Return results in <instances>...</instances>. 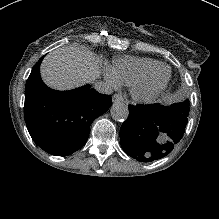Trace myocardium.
<instances>
[{"mask_svg":"<svg viewBox=\"0 0 219 219\" xmlns=\"http://www.w3.org/2000/svg\"><path fill=\"white\" fill-rule=\"evenodd\" d=\"M163 75L160 83L155 82L156 76ZM171 79V71L166 65L151 70L141 81L132 86L131 96L136 103L148 104L157 100L167 88Z\"/></svg>","mask_w":219,"mask_h":219,"instance_id":"obj_1","label":"myocardium"}]
</instances>
